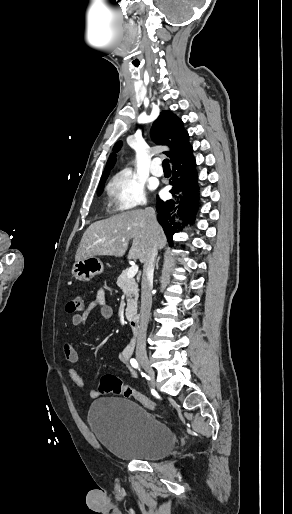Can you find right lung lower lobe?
<instances>
[{
  "instance_id": "1",
  "label": "right lung lower lobe",
  "mask_w": 292,
  "mask_h": 514,
  "mask_svg": "<svg viewBox=\"0 0 292 514\" xmlns=\"http://www.w3.org/2000/svg\"><path fill=\"white\" fill-rule=\"evenodd\" d=\"M196 162L191 153L189 156L177 161L172 165L173 176L170 180L172 189L170 193L179 200L162 201L157 196L156 210L157 219L164 229L168 242L172 244V236L180 226L175 222V216L171 212L178 209L180 218L187 223L195 220V215L199 207V187L197 184ZM181 192V193H179ZM179 194L178 196H176ZM179 204L175 206V204ZM184 224V223H183Z\"/></svg>"
}]
</instances>
